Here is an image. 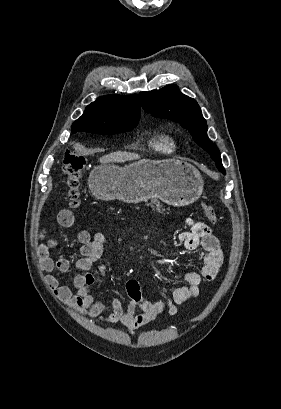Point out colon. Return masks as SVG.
<instances>
[{
    "mask_svg": "<svg viewBox=\"0 0 281 409\" xmlns=\"http://www.w3.org/2000/svg\"><path fill=\"white\" fill-rule=\"evenodd\" d=\"M87 164L86 158L77 152L69 149L63 158V183L67 189L68 202L71 207L79 205V187L81 173ZM205 216L212 222L217 221V214L209 204H204Z\"/></svg>",
    "mask_w": 281,
    "mask_h": 409,
    "instance_id": "1",
    "label": "colon"
}]
</instances>
